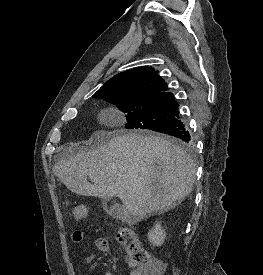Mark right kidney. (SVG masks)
Instances as JSON below:
<instances>
[{"mask_svg": "<svg viewBox=\"0 0 263 275\" xmlns=\"http://www.w3.org/2000/svg\"><path fill=\"white\" fill-rule=\"evenodd\" d=\"M148 240L153 246H161L166 238V232L161 227L160 223H156L154 227L148 232Z\"/></svg>", "mask_w": 263, "mask_h": 275, "instance_id": "right-kidney-1", "label": "right kidney"}]
</instances>
